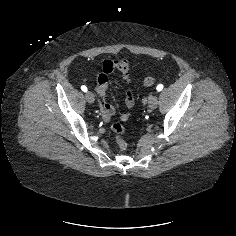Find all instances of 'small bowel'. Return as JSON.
I'll use <instances>...</instances> for the list:
<instances>
[{
    "instance_id": "1",
    "label": "small bowel",
    "mask_w": 236,
    "mask_h": 236,
    "mask_svg": "<svg viewBox=\"0 0 236 236\" xmlns=\"http://www.w3.org/2000/svg\"><path fill=\"white\" fill-rule=\"evenodd\" d=\"M116 72L121 73V82L129 84L132 81V72L129 61L125 58L120 60L107 59L102 64V71L97 74V93L100 98V108L102 119L105 122H109L114 115V108L106 99V90L109 82V77ZM125 104L127 108L134 106V97L130 89L125 91ZM130 117L128 111L121 113L120 118L123 121H127Z\"/></svg>"
}]
</instances>
